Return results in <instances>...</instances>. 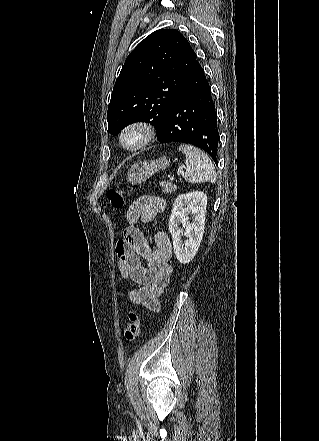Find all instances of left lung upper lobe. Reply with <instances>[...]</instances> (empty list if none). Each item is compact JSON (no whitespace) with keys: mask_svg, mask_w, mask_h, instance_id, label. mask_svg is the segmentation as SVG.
<instances>
[{"mask_svg":"<svg viewBox=\"0 0 319 441\" xmlns=\"http://www.w3.org/2000/svg\"><path fill=\"white\" fill-rule=\"evenodd\" d=\"M188 40L161 29L142 40L127 57L108 106V133L134 122H150L157 137L188 78L199 67Z\"/></svg>","mask_w":319,"mask_h":441,"instance_id":"obj_1","label":"left lung upper lobe"}]
</instances>
